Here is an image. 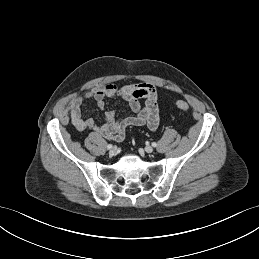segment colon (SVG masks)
<instances>
[{
    "mask_svg": "<svg viewBox=\"0 0 259 259\" xmlns=\"http://www.w3.org/2000/svg\"><path fill=\"white\" fill-rule=\"evenodd\" d=\"M176 106L181 111H187L189 109L188 103L186 101H184V100H178L176 102Z\"/></svg>",
    "mask_w": 259,
    "mask_h": 259,
    "instance_id": "obj_1",
    "label": "colon"
}]
</instances>
